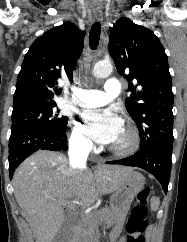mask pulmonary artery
Instances as JSON below:
<instances>
[{"mask_svg": "<svg viewBox=\"0 0 187 242\" xmlns=\"http://www.w3.org/2000/svg\"><path fill=\"white\" fill-rule=\"evenodd\" d=\"M120 91V81L116 78H109L106 80L103 90L74 88L72 101L82 107H98L110 102L119 95Z\"/></svg>", "mask_w": 187, "mask_h": 242, "instance_id": "pulmonary-artery-1", "label": "pulmonary artery"}]
</instances>
